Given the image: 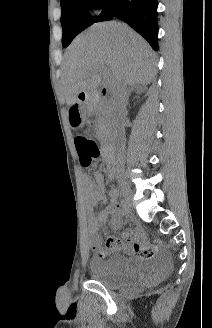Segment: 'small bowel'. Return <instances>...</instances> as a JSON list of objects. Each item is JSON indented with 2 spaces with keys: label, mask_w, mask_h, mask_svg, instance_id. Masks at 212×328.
I'll use <instances>...</instances> for the list:
<instances>
[{
  "label": "small bowel",
  "mask_w": 212,
  "mask_h": 328,
  "mask_svg": "<svg viewBox=\"0 0 212 328\" xmlns=\"http://www.w3.org/2000/svg\"><path fill=\"white\" fill-rule=\"evenodd\" d=\"M83 194L88 212V225L90 232L91 247L94 251H100L102 247V239L98 234L99 229L105 223L109 214H112L110 225L112 228H118L122 224V216L120 208L117 204V191L110 190V203L109 205L99 211L94 212V207L100 202L106 201L105 195V180L100 172H95L93 177H83ZM142 234L139 228L133 227L125 230L122 239H112V247L109 248L113 251H121L126 254H135L140 257H148L153 254V249L149 247L144 241H141ZM103 256V253L100 254Z\"/></svg>",
  "instance_id": "obj_1"
}]
</instances>
